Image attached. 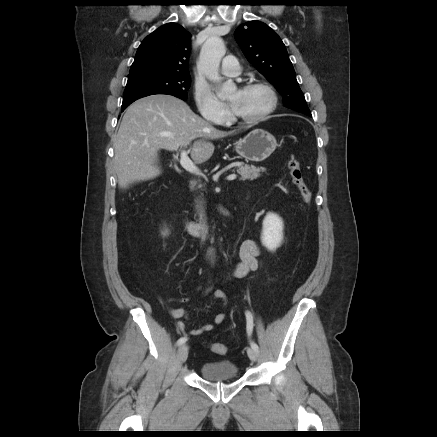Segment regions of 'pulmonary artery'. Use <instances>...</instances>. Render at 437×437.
Instances as JSON below:
<instances>
[{"label":"pulmonary artery","mask_w":437,"mask_h":437,"mask_svg":"<svg viewBox=\"0 0 437 437\" xmlns=\"http://www.w3.org/2000/svg\"><path fill=\"white\" fill-rule=\"evenodd\" d=\"M221 73L229 77L237 76L240 73V66L235 56L228 55L223 59Z\"/></svg>","instance_id":"1"}]
</instances>
